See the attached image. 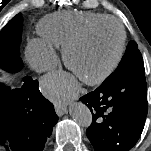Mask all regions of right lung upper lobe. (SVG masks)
<instances>
[{"instance_id": "1", "label": "right lung upper lobe", "mask_w": 151, "mask_h": 151, "mask_svg": "<svg viewBox=\"0 0 151 151\" xmlns=\"http://www.w3.org/2000/svg\"><path fill=\"white\" fill-rule=\"evenodd\" d=\"M6 126V119L3 114H0V131L4 130Z\"/></svg>"}]
</instances>
